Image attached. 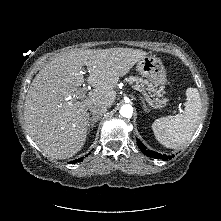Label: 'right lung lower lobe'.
Returning a JSON list of instances; mask_svg holds the SVG:
<instances>
[{
	"mask_svg": "<svg viewBox=\"0 0 221 221\" xmlns=\"http://www.w3.org/2000/svg\"><path fill=\"white\" fill-rule=\"evenodd\" d=\"M83 160V158H79V159H76V160H74V161H71V162H69V163H76V162H81Z\"/></svg>",
	"mask_w": 221,
	"mask_h": 221,
	"instance_id": "1",
	"label": "right lung lower lobe"
}]
</instances>
